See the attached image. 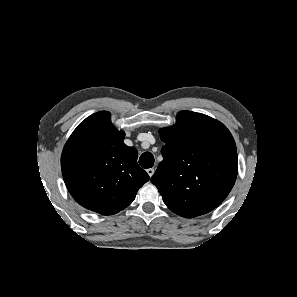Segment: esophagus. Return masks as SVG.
I'll list each match as a JSON object with an SVG mask.
<instances>
[{
    "label": "esophagus",
    "instance_id": "34e87169",
    "mask_svg": "<svg viewBox=\"0 0 297 297\" xmlns=\"http://www.w3.org/2000/svg\"><path fill=\"white\" fill-rule=\"evenodd\" d=\"M154 171H155L154 168L147 169V173L150 177L154 174Z\"/></svg>",
    "mask_w": 297,
    "mask_h": 297
}]
</instances>
